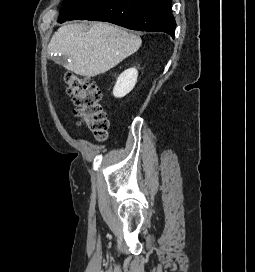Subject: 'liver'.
Here are the masks:
<instances>
[{"mask_svg": "<svg viewBox=\"0 0 255 272\" xmlns=\"http://www.w3.org/2000/svg\"><path fill=\"white\" fill-rule=\"evenodd\" d=\"M141 38L109 23L87 28L75 23L60 27L48 45L49 54H61L64 67L74 73L94 77L103 74L135 53Z\"/></svg>", "mask_w": 255, "mask_h": 272, "instance_id": "obj_1", "label": "liver"}]
</instances>
